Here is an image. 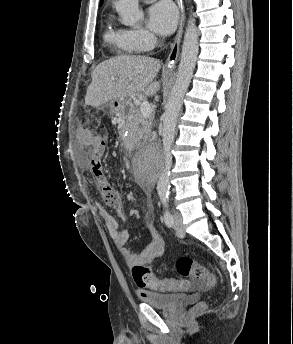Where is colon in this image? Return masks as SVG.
Masks as SVG:
<instances>
[{
	"label": "colon",
	"instance_id": "5ec220e1",
	"mask_svg": "<svg viewBox=\"0 0 293 344\" xmlns=\"http://www.w3.org/2000/svg\"><path fill=\"white\" fill-rule=\"evenodd\" d=\"M104 150L105 142L100 139L94 145L91 168L94 171H98L95 177L102 199L108 206L117 208L121 205L122 199L120 193L111 185L102 171L101 158ZM175 267L181 277L192 279L194 282L202 279H205L209 283L214 281V277L207 272L205 266L190 257L184 256L178 258ZM131 273L135 284L139 288L169 291L188 287V283L180 279H158L148 265H135L132 267ZM205 307V303L202 302L197 305L196 309L203 310Z\"/></svg>",
	"mask_w": 293,
	"mask_h": 344
}]
</instances>
